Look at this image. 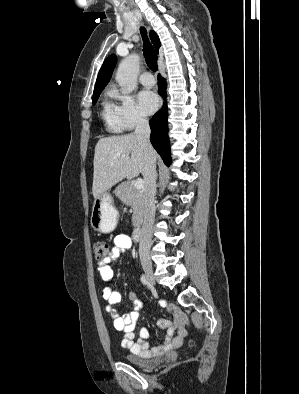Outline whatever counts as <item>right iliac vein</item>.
Returning <instances> with one entry per match:
<instances>
[{"label":"right iliac vein","mask_w":299,"mask_h":394,"mask_svg":"<svg viewBox=\"0 0 299 394\" xmlns=\"http://www.w3.org/2000/svg\"><path fill=\"white\" fill-rule=\"evenodd\" d=\"M142 268L149 280V282L154 285L155 283V277H154V273H153V268L151 264H143Z\"/></svg>","instance_id":"1"}]
</instances>
